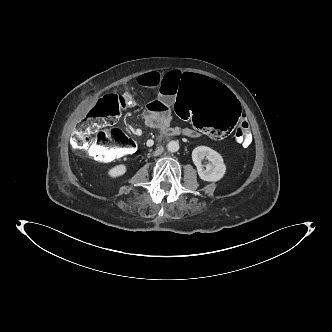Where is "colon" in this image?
Returning a JSON list of instances; mask_svg holds the SVG:
<instances>
[{
	"instance_id": "1",
	"label": "colon",
	"mask_w": 332,
	"mask_h": 332,
	"mask_svg": "<svg viewBox=\"0 0 332 332\" xmlns=\"http://www.w3.org/2000/svg\"><path fill=\"white\" fill-rule=\"evenodd\" d=\"M124 95L108 94L99 99L78 123L71 138L72 148L85 152L95 161L107 163L128 154L134 140L120 129L104 130L114 124L129 104ZM173 109L180 121L214 141H223L235 134L241 147L251 142L249 124L242 120L237 98L221 83L201 72L185 75L178 82ZM241 121V122H240Z\"/></svg>"
}]
</instances>
